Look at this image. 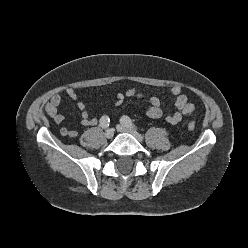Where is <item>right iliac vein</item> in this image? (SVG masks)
Listing matches in <instances>:
<instances>
[{
    "label": "right iliac vein",
    "mask_w": 248,
    "mask_h": 248,
    "mask_svg": "<svg viewBox=\"0 0 248 248\" xmlns=\"http://www.w3.org/2000/svg\"><path fill=\"white\" fill-rule=\"evenodd\" d=\"M106 138L111 139L114 136V130L113 129H108L105 133Z\"/></svg>",
    "instance_id": "63e3f726"
}]
</instances>
